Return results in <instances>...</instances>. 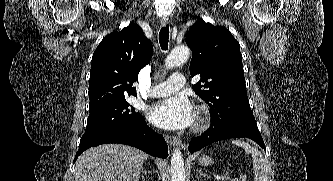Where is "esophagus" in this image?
<instances>
[{"label":"esophagus","instance_id":"obj_1","mask_svg":"<svg viewBox=\"0 0 333 181\" xmlns=\"http://www.w3.org/2000/svg\"><path fill=\"white\" fill-rule=\"evenodd\" d=\"M167 24H169V19L163 17V18L161 19V25L165 27ZM164 138H165V141H166L170 146L181 145V141H180V139L177 138V137H175V136H169V135H166Z\"/></svg>","mask_w":333,"mask_h":181}]
</instances>
